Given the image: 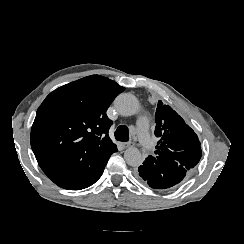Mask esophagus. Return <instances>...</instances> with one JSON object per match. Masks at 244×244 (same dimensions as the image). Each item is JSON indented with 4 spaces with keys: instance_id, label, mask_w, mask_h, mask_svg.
Listing matches in <instances>:
<instances>
[{
    "instance_id": "obj_1",
    "label": "esophagus",
    "mask_w": 244,
    "mask_h": 244,
    "mask_svg": "<svg viewBox=\"0 0 244 244\" xmlns=\"http://www.w3.org/2000/svg\"><path fill=\"white\" fill-rule=\"evenodd\" d=\"M133 145H134L133 142H125V143H123V147L124 148H128V147H131Z\"/></svg>"
}]
</instances>
